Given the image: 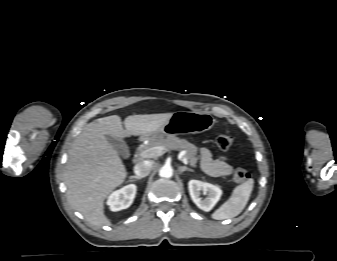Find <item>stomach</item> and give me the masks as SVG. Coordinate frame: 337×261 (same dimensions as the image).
<instances>
[{
    "instance_id": "obj_1",
    "label": "stomach",
    "mask_w": 337,
    "mask_h": 261,
    "mask_svg": "<svg viewBox=\"0 0 337 261\" xmlns=\"http://www.w3.org/2000/svg\"><path fill=\"white\" fill-rule=\"evenodd\" d=\"M213 126L214 119L209 113L177 111L174 112L167 123L155 133L165 136L189 135L208 131ZM152 137H154V135Z\"/></svg>"
}]
</instances>
